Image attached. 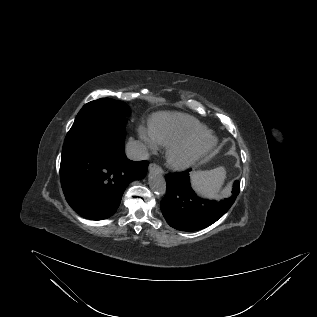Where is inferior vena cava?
Returning a JSON list of instances; mask_svg holds the SVG:
<instances>
[{
	"instance_id": "602c4592",
	"label": "inferior vena cava",
	"mask_w": 317,
	"mask_h": 317,
	"mask_svg": "<svg viewBox=\"0 0 317 317\" xmlns=\"http://www.w3.org/2000/svg\"><path fill=\"white\" fill-rule=\"evenodd\" d=\"M126 155L129 159L135 161L149 158L146 146L140 141H129L126 145Z\"/></svg>"
}]
</instances>
